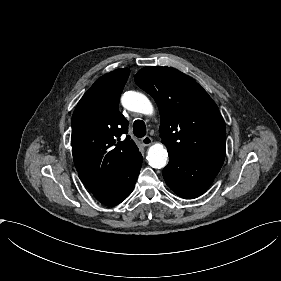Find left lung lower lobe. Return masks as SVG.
<instances>
[{"label":"left lung lower lobe","instance_id":"1","mask_svg":"<svg viewBox=\"0 0 281 281\" xmlns=\"http://www.w3.org/2000/svg\"><path fill=\"white\" fill-rule=\"evenodd\" d=\"M222 164L215 161H191L169 154V164L163 169V176L178 196L193 199L209 188Z\"/></svg>","mask_w":281,"mask_h":281}]
</instances>
